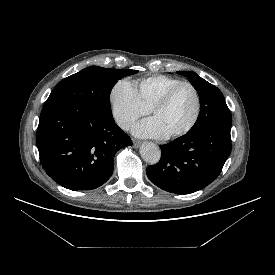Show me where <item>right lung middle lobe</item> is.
<instances>
[{"label": "right lung middle lobe", "instance_id": "right-lung-middle-lobe-1", "mask_svg": "<svg viewBox=\"0 0 275 275\" xmlns=\"http://www.w3.org/2000/svg\"><path fill=\"white\" fill-rule=\"evenodd\" d=\"M138 70L91 66L63 79L51 92L44 107L80 104L112 115L110 92L116 82Z\"/></svg>", "mask_w": 275, "mask_h": 275}]
</instances>
